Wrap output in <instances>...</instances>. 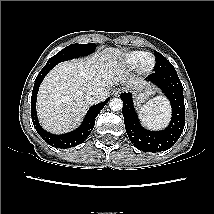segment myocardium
<instances>
[{"label":"myocardium","mask_w":214,"mask_h":214,"mask_svg":"<svg viewBox=\"0 0 214 214\" xmlns=\"http://www.w3.org/2000/svg\"><path fill=\"white\" fill-rule=\"evenodd\" d=\"M150 59V63H147V60ZM137 66V72L141 75H148L153 72L156 66V59L155 57L150 53H145L143 57L138 62Z\"/></svg>","instance_id":"1"}]
</instances>
